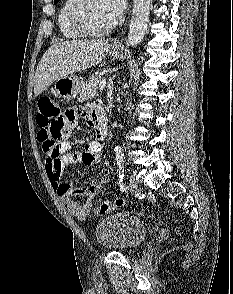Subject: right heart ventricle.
<instances>
[{
  "label": "right heart ventricle",
  "mask_w": 233,
  "mask_h": 294,
  "mask_svg": "<svg viewBox=\"0 0 233 294\" xmlns=\"http://www.w3.org/2000/svg\"><path fill=\"white\" fill-rule=\"evenodd\" d=\"M74 4L75 0H63L57 18L60 33L69 40H78L84 37V35L75 28L71 20V12Z\"/></svg>",
  "instance_id": "right-heart-ventricle-1"
}]
</instances>
